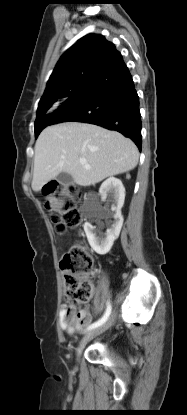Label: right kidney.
I'll list each match as a JSON object with an SVG mask.
<instances>
[{
    "label": "right kidney",
    "instance_id": "1",
    "mask_svg": "<svg viewBox=\"0 0 187 415\" xmlns=\"http://www.w3.org/2000/svg\"><path fill=\"white\" fill-rule=\"evenodd\" d=\"M99 194L102 199H106L107 196L110 197V201L112 202L111 211L106 208L100 209V211L103 217L112 215L114 222L111 227L107 229L104 237L97 236L95 227L89 222L84 224V231L92 249L100 255H105L112 248L123 225L121 208L124 204L125 188L120 179L110 177L102 183Z\"/></svg>",
    "mask_w": 187,
    "mask_h": 415
}]
</instances>
